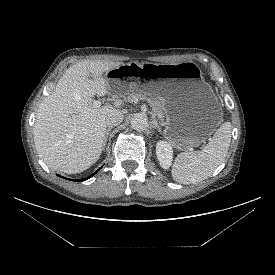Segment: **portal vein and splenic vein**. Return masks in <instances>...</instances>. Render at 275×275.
<instances>
[{
    "label": "portal vein and splenic vein",
    "instance_id": "1",
    "mask_svg": "<svg viewBox=\"0 0 275 275\" xmlns=\"http://www.w3.org/2000/svg\"><path fill=\"white\" fill-rule=\"evenodd\" d=\"M93 105H94L95 107H99V106L101 105V102H100V101H94V102H93ZM188 152H189V153H192V152H193V149H192V148H189Z\"/></svg>",
    "mask_w": 275,
    "mask_h": 275
}]
</instances>
